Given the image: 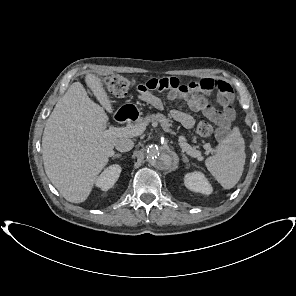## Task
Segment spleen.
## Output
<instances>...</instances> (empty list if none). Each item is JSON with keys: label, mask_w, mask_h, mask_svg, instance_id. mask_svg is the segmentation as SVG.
Masks as SVG:
<instances>
[{"label": "spleen", "mask_w": 296, "mask_h": 296, "mask_svg": "<svg viewBox=\"0 0 296 296\" xmlns=\"http://www.w3.org/2000/svg\"><path fill=\"white\" fill-rule=\"evenodd\" d=\"M244 140L234 128L216 147L215 154L205 160L208 171L225 188L240 180L245 164Z\"/></svg>", "instance_id": "obj_1"}]
</instances>
